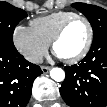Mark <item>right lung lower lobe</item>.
Segmentation results:
<instances>
[{
    "label": "right lung lower lobe",
    "mask_w": 107,
    "mask_h": 107,
    "mask_svg": "<svg viewBox=\"0 0 107 107\" xmlns=\"http://www.w3.org/2000/svg\"><path fill=\"white\" fill-rule=\"evenodd\" d=\"M42 74L18 51L0 48V107H25L34 79Z\"/></svg>",
    "instance_id": "1"
}]
</instances>
